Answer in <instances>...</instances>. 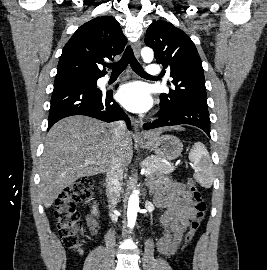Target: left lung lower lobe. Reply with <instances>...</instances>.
<instances>
[{"label":"left lung lower lobe","mask_w":267,"mask_h":270,"mask_svg":"<svg viewBox=\"0 0 267 270\" xmlns=\"http://www.w3.org/2000/svg\"><path fill=\"white\" fill-rule=\"evenodd\" d=\"M157 115L160 116L157 120L143 125L144 130L189 124L199 127L210 137V118L207 107L194 104L179 105L171 108L160 106Z\"/></svg>","instance_id":"1"}]
</instances>
